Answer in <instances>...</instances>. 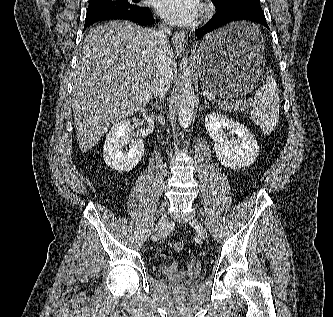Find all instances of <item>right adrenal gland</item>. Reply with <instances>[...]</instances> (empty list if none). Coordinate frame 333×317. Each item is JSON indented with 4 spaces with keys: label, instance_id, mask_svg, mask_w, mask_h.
Masks as SVG:
<instances>
[{
    "label": "right adrenal gland",
    "instance_id": "1",
    "mask_svg": "<svg viewBox=\"0 0 333 317\" xmlns=\"http://www.w3.org/2000/svg\"><path fill=\"white\" fill-rule=\"evenodd\" d=\"M150 105L156 109H160V105L159 103L156 101V102H153V103H150Z\"/></svg>",
    "mask_w": 333,
    "mask_h": 317
}]
</instances>
